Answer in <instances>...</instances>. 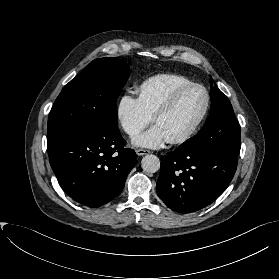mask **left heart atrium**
I'll list each match as a JSON object with an SVG mask.
<instances>
[{
    "instance_id": "39dd6f15",
    "label": "left heart atrium",
    "mask_w": 279,
    "mask_h": 279,
    "mask_svg": "<svg viewBox=\"0 0 279 279\" xmlns=\"http://www.w3.org/2000/svg\"><path fill=\"white\" fill-rule=\"evenodd\" d=\"M169 141L168 136L159 125H154L148 131L133 139L136 146L157 149L164 146Z\"/></svg>"
}]
</instances>
